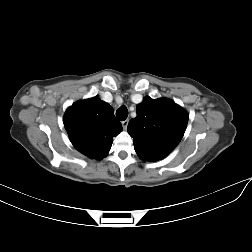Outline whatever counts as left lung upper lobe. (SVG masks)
<instances>
[{
    "instance_id": "left-lung-upper-lobe-1",
    "label": "left lung upper lobe",
    "mask_w": 252,
    "mask_h": 252,
    "mask_svg": "<svg viewBox=\"0 0 252 252\" xmlns=\"http://www.w3.org/2000/svg\"><path fill=\"white\" fill-rule=\"evenodd\" d=\"M137 116L129 121L127 131L134 149L143 161L155 162L166 157L180 143L188 113L167 98L146 96L136 107Z\"/></svg>"
}]
</instances>
